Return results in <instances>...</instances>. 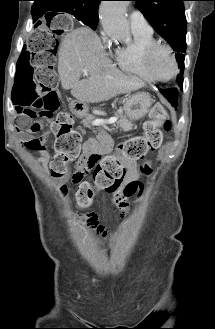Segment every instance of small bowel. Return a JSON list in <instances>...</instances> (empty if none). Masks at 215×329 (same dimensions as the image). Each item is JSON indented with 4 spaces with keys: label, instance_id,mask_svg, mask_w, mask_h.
Instances as JSON below:
<instances>
[{
    "label": "small bowel",
    "instance_id": "1",
    "mask_svg": "<svg viewBox=\"0 0 215 329\" xmlns=\"http://www.w3.org/2000/svg\"><path fill=\"white\" fill-rule=\"evenodd\" d=\"M27 122L21 118L20 121V127L26 125ZM20 129V128H19ZM22 131V130H20ZM24 132V131H22ZM24 133H29V132H24ZM31 134V133H29ZM36 139V138H34ZM34 139H23L22 144L29 150L37 153V160L43 164H46L49 160V152H48V146L45 141L40 140L41 143L44 145L43 148H38L32 146L31 142ZM109 146V141L104 140V141H97L95 139H90L87 141L84 146H83V154L79 160L78 165L81 164L82 160L91 155V154H103L107 151ZM124 166L127 169V176H126V182L124 184V187H120V190L116 191L114 193V200L117 205V207L121 210L122 215L125 213L127 210V203L126 199L124 198L123 194H126L125 196L128 198L130 196L132 201L135 203L137 200L136 199H142L143 194L146 192V187L147 184L146 182H142L141 178H137L139 175L138 167L136 162L133 160H125L124 161ZM130 194V195H129ZM82 220L84 223L91 228L96 234L101 235L103 237L107 236V231L105 228L100 225L99 223V217L95 212H88L82 216Z\"/></svg>",
    "mask_w": 215,
    "mask_h": 329
}]
</instances>
